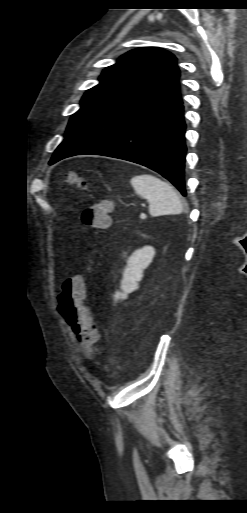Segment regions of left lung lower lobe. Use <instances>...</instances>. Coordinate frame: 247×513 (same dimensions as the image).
I'll list each match as a JSON object with an SVG mask.
<instances>
[{"instance_id": "0a47b994", "label": "left lung lower lobe", "mask_w": 247, "mask_h": 513, "mask_svg": "<svg viewBox=\"0 0 247 513\" xmlns=\"http://www.w3.org/2000/svg\"><path fill=\"white\" fill-rule=\"evenodd\" d=\"M178 78L179 75L67 137L49 164L79 154L124 159L160 173L186 196V125Z\"/></svg>"}]
</instances>
